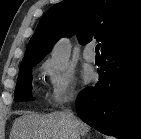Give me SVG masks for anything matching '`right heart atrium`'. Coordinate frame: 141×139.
I'll use <instances>...</instances> for the list:
<instances>
[{
	"label": "right heart atrium",
	"mask_w": 141,
	"mask_h": 139,
	"mask_svg": "<svg viewBox=\"0 0 141 139\" xmlns=\"http://www.w3.org/2000/svg\"><path fill=\"white\" fill-rule=\"evenodd\" d=\"M41 69L47 77L46 99L51 107H58L74 99L76 80L69 69L58 68L51 60L45 61Z\"/></svg>",
	"instance_id": "obj_1"
}]
</instances>
